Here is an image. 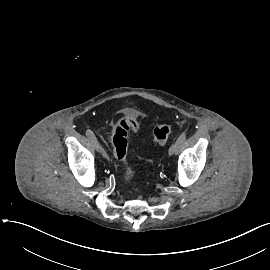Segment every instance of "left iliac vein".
<instances>
[{"label":"left iliac vein","instance_id":"1","mask_svg":"<svg viewBox=\"0 0 270 270\" xmlns=\"http://www.w3.org/2000/svg\"><path fill=\"white\" fill-rule=\"evenodd\" d=\"M176 152H177V143L175 142L170 146L168 154L171 156Z\"/></svg>","mask_w":270,"mask_h":270}]
</instances>
